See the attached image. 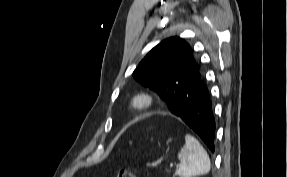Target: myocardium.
Masks as SVG:
<instances>
[{"mask_svg":"<svg viewBox=\"0 0 287 177\" xmlns=\"http://www.w3.org/2000/svg\"><path fill=\"white\" fill-rule=\"evenodd\" d=\"M156 103L157 97L152 91L140 90L132 96L129 107L133 112L141 114L153 108Z\"/></svg>","mask_w":287,"mask_h":177,"instance_id":"f54148a6","label":"myocardium"}]
</instances>
